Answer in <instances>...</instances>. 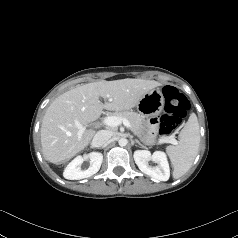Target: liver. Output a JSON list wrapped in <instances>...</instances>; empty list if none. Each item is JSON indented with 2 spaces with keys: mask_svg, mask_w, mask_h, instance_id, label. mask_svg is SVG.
<instances>
[{
  "mask_svg": "<svg viewBox=\"0 0 238 238\" xmlns=\"http://www.w3.org/2000/svg\"><path fill=\"white\" fill-rule=\"evenodd\" d=\"M161 84L154 80L121 79L77 86L58 96L47 108L41 125L44 158L60 164L81 152L95 135L92 129L81 135L76 123L85 126L99 118L103 109L129 110ZM99 97L107 100L104 104Z\"/></svg>",
  "mask_w": 238,
  "mask_h": 238,
  "instance_id": "6515ba94",
  "label": "liver"
}]
</instances>
